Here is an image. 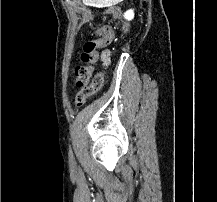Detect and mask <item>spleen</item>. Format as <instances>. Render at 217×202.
Listing matches in <instances>:
<instances>
[{"instance_id": "spleen-1", "label": "spleen", "mask_w": 217, "mask_h": 202, "mask_svg": "<svg viewBox=\"0 0 217 202\" xmlns=\"http://www.w3.org/2000/svg\"><path fill=\"white\" fill-rule=\"evenodd\" d=\"M85 5H94V7H109V5H120V0H85Z\"/></svg>"}]
</instances>
